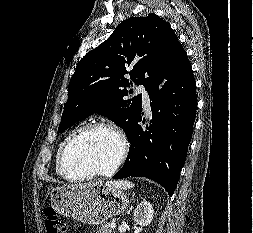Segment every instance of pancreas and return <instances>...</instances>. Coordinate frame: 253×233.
Returning a JSON list of instances; mask_svg holds the SVG:
<instances>
[{
    "instance_id": "obj_1",
    "label": "pancreas",
    "mask_w": 253,
    "mask_h": 233,
    "mask_svg": "<svg viewBox=\"0 0 253 233\" xmlns=\"http://www.w3.org/2000/svg\"><path fill=\"white\" fill-rule=\"evenodd\" d=\"M95 233H112V229L110 228V224H104L95 229Z\"/></svg>"
}]
</instances>
